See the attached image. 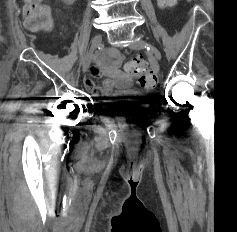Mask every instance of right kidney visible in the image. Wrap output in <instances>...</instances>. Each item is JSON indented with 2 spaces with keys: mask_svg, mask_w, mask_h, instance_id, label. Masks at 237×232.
<instances>
[{
  "mask_svg": "<svg viewBox=\"0 0 237 232\" xmlns=\"http://www.w3.org/2000/svg\"><path fill=\"white\" fill-rule=\"evenodd\" d=\"M65 4L71 5L73 4L76 0H62Z\"/></svg>",
  "mask_w": 237,
  "mask_h": 232,
  "instance_id": "right-kidney-1",
  "label": "right kidney"
}]
</instances>
